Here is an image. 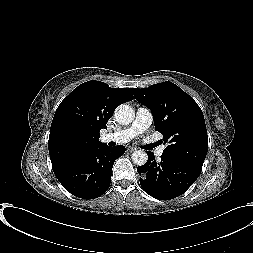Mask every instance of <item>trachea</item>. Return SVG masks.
I'll use <instances>...</instances> for the list:
<instances>
[{"mask_svg": "<svg viewBox=\"0 0 253 253\" xmlns=\"http://www.w3.org/2000/svg\"><path fill=\"white\" fill-rule=\"evenodd\" d=\"M156 145H158V143H154L152 146L155 147Z\"/></svg>", "mask_w": 253, "mask_h": 253, "instance_id": "trachea-1", "label": "trachea"}]
</instances>
